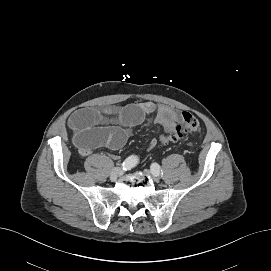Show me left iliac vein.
<instances>
[{"instance_id": "obj_1", "label": "left iliac vein", "mask_w": 271, "mask_h": 271, "mask_svg": "<svg viewBox=\"0 0 271 271\" xmlns=\"http://www.w3.org/2000/svg\"><path fill=\"white\" fill-rule=\"evenodd\" d=\"M144 172H145L147 175H151L152 178H153V180H154L155 182H158V181H159V179H160L159 175L153 174V173H152L150 170H148V169H145Z\"/></svg>"}]
</instances>
